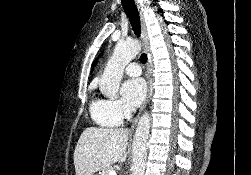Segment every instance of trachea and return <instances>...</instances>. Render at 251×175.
I'll return each instance as SVG.
<instances>
[{"label":"trachea","instance_id":"trachea-1","mask_svg":"<svg viewBox=\"0 0 251 175\" xmlns=\"http://www.w3.org/2000/svg\"><path fill=\"white\" fill-rule=\"evenodd\" d=\"M122 5H123V9L125 10L129 18V21L131 23L134 33L137 36H140L141 34L140 17H139V12L137 10V7L134 3V0H122ZM140 61L141 63L147 62V55L145 53H143L140 56Z\"/></svg>","mask_w":251,"mask_h":175}]
</instances>
